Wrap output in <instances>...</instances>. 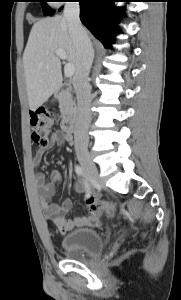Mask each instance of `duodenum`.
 <instances>
[{"instance_id": "410a0bca", "label": "duodenum", "mask_w": 181, "mask_h": 300, "mask_svg": "<svg viewBox=\"0 0 181 300\" xmlns=\"http://www.w3.org/2000/svg\"><path fill=\"white\" fill-rule=\"evenodd\" d=\"M69 87H70V84H68V83L62 84L60 87H58L55 90V92L53 94L54 98H59L65 92V90L68 89ZM62 127L66 133H68V134L74 133L75 128H76L75 115H73V114L67 115L62 122Z\"/></svg>"}]
</instances>
